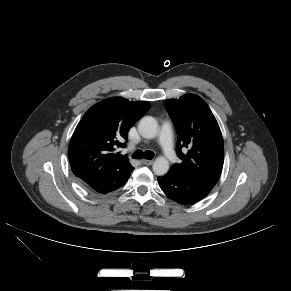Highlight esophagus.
Here are the masks:
<instances>
[{
	"label": "esophagus",
	"mask_w": 291,
	"mask_h": 291,
	"mask_svg": "<svg viewBox=\"0 0 291 291\" xmlns=\"http://www.w3.org/2000/svg\"><path fill=\"white\" fill-rule=\"evenodd\" d=\"M141 162H142V164H144V165H152V164H153V160H146V159H143Z\"/></svg>",
	"instance_id": "obj_1"
}]
</instances>
